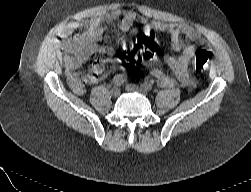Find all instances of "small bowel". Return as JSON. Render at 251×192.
I'll list each match as a JSON object with an SVG mask.
<instances>
[{"label":"small bowel","mask_w":251,"mask_h":192,"mask_svg":"<svg viewBox=\"0 0 251 192\" xmlns=\"http://www.w3.org/2000/svg\"><path fill=\"white\" fill-rule=\"evenodd\" d=\"M141 17L135 12H127L121 20V28L128 30L135 23L140 22ZM76 22L70 23L59 40V47L63 54L65 76L69 87L77 95H83L87 86L99 83L105 79L108 72L101 61L92 63L89 71L80 75L78 69L96 52H112L118 46L113 35L100 21L92 20L87 29L76 35H72L77 28ZM146 32H165L171 36V45L177 54H167L164 61L171 70V75L158 68L150 71V75L157 80L162 88H172L179 84L183 88L192 90L195 82L191 76L190 63L198 47L206 42L204 35L188 24L168 23L153 20L145 25ZM185 38L187 43L184 42Z\"/></svg>","instance_id":"1"}]
</instances>
